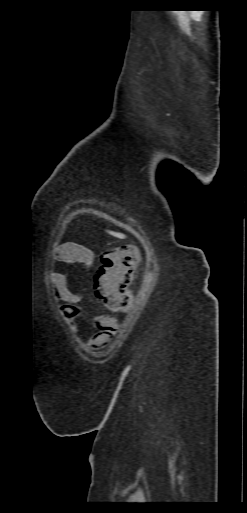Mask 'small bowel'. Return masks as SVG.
<instances>
[{
  "mask_svg": "<svg viewBox=\"0 0 247 513\" xmlns=\"http://www.w3.org/2000/svg\"><path fill=\"white\" fill-rule=\"evenodd\" d=\"M57 260L63 263L83 262L87 265L91 262L90 255L76 243H65L56 251ZM49 282L53 286L59 298L64 302L61 312L66 318L69 328L76 330L74 320L80 316L82 309L80 303L83 299L81 293L73 292L65 274L52 272L49 274ZM98 333L90 340V347L94 350L105 349L115 336L118 320L114 316H101L97 320Z\"/></svg>",
  "mask_w": 247,
  "mask_h": 513,
  "instance_id": "small-bowel-1",
  "label": "small bowel"
}]
</instances>
